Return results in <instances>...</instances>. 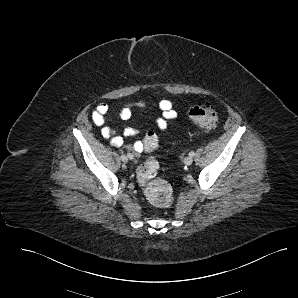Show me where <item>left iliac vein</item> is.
I'll return each instance as SVG.
<instances>
[{
	"mask_svg": "<svg viewBox=\"0 0 298 298\" xmlns=\"http://www.w3.org/2000/svg\"><path fill=\"white\" fill-rule=\"evenodd\" d=\"M192 162H193V159H192V157L191 156H187V157H185L184 158V164L185 165H191L192 164Z\"/></svg>",
	"mask_w": 298,
	"mask_h": 298,
	"instance_id": "1",
	"label": "left iliac vein"
}]
</instances>
